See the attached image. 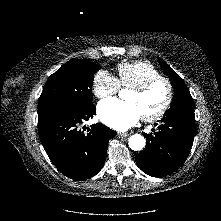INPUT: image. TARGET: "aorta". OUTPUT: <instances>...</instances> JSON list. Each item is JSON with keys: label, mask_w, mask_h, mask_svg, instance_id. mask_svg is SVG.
<instances>
[{"label": "aorta", "mask_w": 221, "mask_h": 221, "mask_svg": "<svg viewBox=\"0 0 221 221\" xmlns=\"http://www.w3.org/2000/svg\"><path fill=\"white\" fill-rule=\"evenodd\" d=\"M128 144L132 150L139 151L145 147L146 140L141 134H134L129 137Z\"/></svg>", "instance_id": "1"}]
</instances>
